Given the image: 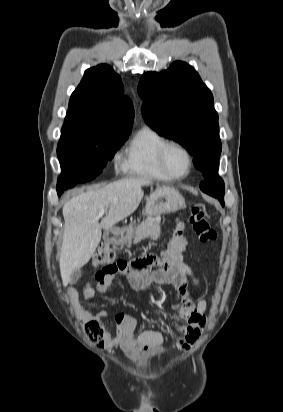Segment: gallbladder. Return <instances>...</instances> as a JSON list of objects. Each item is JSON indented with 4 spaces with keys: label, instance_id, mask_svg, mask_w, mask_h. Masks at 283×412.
Returning <instances> with one entry per match:
<instances>
[{
    "label": "gallbladder",
    "instance_id": "gallbladder-1",
    "mask_svg": "<svg viewBox=\"0 0 283 412\" xmlns=\"http://www.w3.org/2000/svg\"><path fill=\"white\" fill-rule=\"evenodd\" d=\"M81 277V270H75L70 277V284L76 283Z\"/></svg>",
    "mask_w": 283,
    "mask_h": 412
}]
</instances>
